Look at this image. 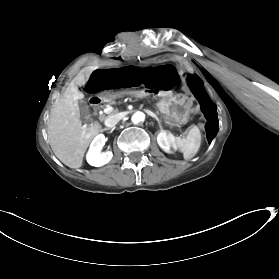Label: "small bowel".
Here are the masks:
<instances>
[{"instance_id":"c3829d8e","label":"small bowel","mask_w":279,"mask_h":279,"mask_svg":"<svg viewBox=\"0 0 279 279\" xmlns=\"http://www.w3.org/2000/svg\"><path fill=\"white\" fill-rule=\"evenodd\" d=\"M147 84L155 90H171L180 84V78L174 68L161 66L153 71Z\"/></svg>"}]
</instances>
